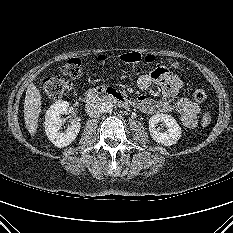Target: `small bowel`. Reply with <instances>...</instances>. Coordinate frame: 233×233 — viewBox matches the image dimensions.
Returning a JSON list of instances; mask_svg holds the SVG:
<instances>
[{
  "label": "small bowel",
  "mask_w": 233,
  "mask_h": 233,
  "mask_svg": "<svg viewBox=\"0 0 233 233\" xmlns=\"http://www.w3.org/2000/svg\"><path fill=\"white\" fill-rule=\"evenodd\" d=\"M137 84L140 89L146 90L156 84L162 88L161 98H151L140 95L135 105L145 113H167L175 111L180 116L183 125L187 128H194L197 125L199 106L195 101L188 98L175 100L182 89V80L164 67L154 69L150 74L141 75Z\"/></svg>",
  "instance_id": "c3829d8e"
}]
</instances>
